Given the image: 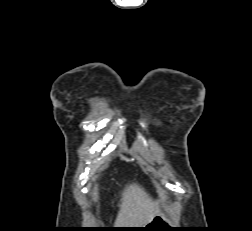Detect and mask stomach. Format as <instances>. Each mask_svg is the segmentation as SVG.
I'll return each instance as SVG.
<instances>
[{
    "label": "stomach",
    "instance_id": "obj_1",
    "mask_svg": "<svg viewBox=\"0 0 252 231\" xmlns=\"http://www.w3.org/2000/svg\"><path fill=\"white\" fill-rule=\"evenodd\" d=\"M141 231H164L172 228L171 223L163 214H157L148 224L141 227Z\"/></svg>",
    "mask_w": 252,
    "mask_h": 231
}]
</instances>
